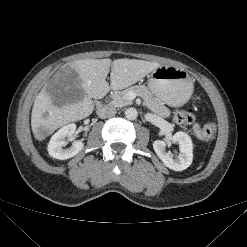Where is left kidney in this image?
I'll use <instances>...</instances> for the list:
<instances>
[{"mask_svg": "<svg viewBox=\"0 0 247 247\" xmlns=\"http://www.w3.org/2000/svg\"><path fill=\"white\" fill-rule=\"evenodd\" d=\"M172 143L179 145V155L173 158L171 152L166 151V146L171 142L167 140H156L153 143L154 151L161 159L165 166L174 170L182 171L188 168L193 160V143L188 134L185 132H177L171 138Z\"/></svg>", "mask_w": 247, "mask_h": 247, "instance_id": "obj_1", "label": "left kidney"}]
</instances>
